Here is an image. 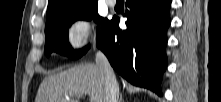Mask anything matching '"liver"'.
Returning <instances> with one entry per match:
<instances>
[{"mask_svg": "<svg viewBox=\"0 0 221 102\" xmlns=\"http://www.w3.org/2000/svg\"><path fill=\"white\" fill-rule=\"evenodd\" d=\"M89 95L90 102H104L105 75L96 64H81L46 77L37 92L36 102H79Z\"/></svg>", "mask_w": 221, "mask_h": 102, "instance_id": "1", "label": "liver"}]
</instances>
